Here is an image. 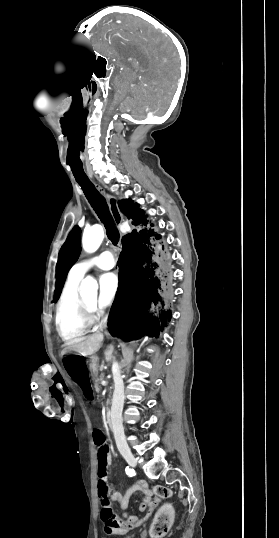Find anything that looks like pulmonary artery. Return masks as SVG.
Segmentation results:
<instances>
[{
    "instance_id": "1",
    "label": "pulmonary artery",
    "mask_w": 279,
    "mask_h": 538,
    "mask_svg": "<svg viewBox=\"0 0 279 538\" xmlns=\"http://www.w3.org/2000/svg\"><path fill=\"white\" fill-rule=\"evenodd\" d=\"M116 260V253L112 250H106L96 256L78 261L72 266L70 273L75 276H81L85 275L92 268L108 270L114 266Z\"/></svg>"
}]
</instances>
